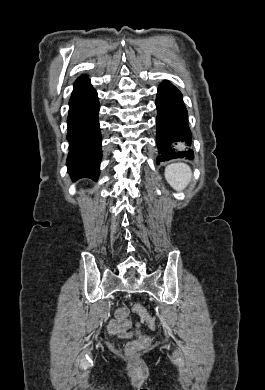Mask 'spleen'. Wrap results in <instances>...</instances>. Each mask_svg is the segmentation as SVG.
Segmentation results:
<instances>
[{
	"label": "spleen",
	"mask_w": 265,
	"mask_h": 390,
	"mask_svg": "<svg viewBox=\"0 0 265 390\" xmlns=\"http://www.w3.org/2000/svg\"><path fill=\"white\" fill-rule=\"evenodd\" d=\"M165 178L173 189L181 191L189 184L192 172L184 163H173L165 168Z\"/></svg>",
	"instance_id": "1"
}]
</instances>
